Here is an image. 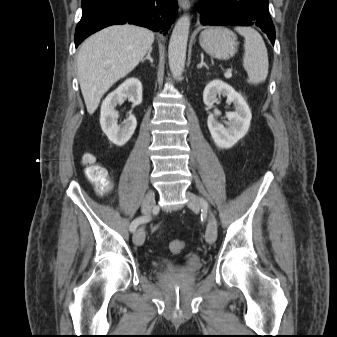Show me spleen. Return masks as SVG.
<instances>
[{"mask_svg":"<svg viewBox=\"0 0 337 337\" xmlns=\"http://www.w3.org/2000/svg\"><path fill=\"white\" fill-rule=\"evenodd\" d=\"M244 37L243 67L248 74L247 82L257 85L268 75V53L261 35L252 27H235Z\"/></svg>","mask_w":337,"mask_h":337,"instance_id":"3e777b00","label":"spleen"}]
</instances>
